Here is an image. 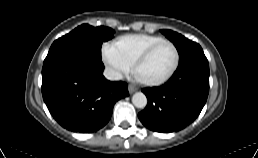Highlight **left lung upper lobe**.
I'll return each mask as SVG.
<instances>
[{
    "label": "left lung upper lobe",
    "mask_w": 258,
    "mask_h": 158,
    "mask_svg": "<svg viewBox=\"0 0 258 158\" xmlns=\"http://www.w3.org/2000/svg\"><path fill=\"white\" fill-rule=\"evenodd\" d=\"M161 32L173 42L178 50L180 60H182L188 53L195 47L200 46L199 44L192 42L185 38L181 34L173 32L171 30H161Z\"/></svg>",
    "instance_id": "5c2ea615"
}]
</instances>
